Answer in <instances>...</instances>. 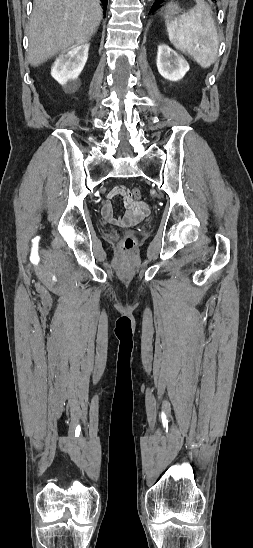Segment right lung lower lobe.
<instances>
[{"label":"right lung lower lobe","instance_id":"98d812e1","mask_svg":"<svg viewBox=\"0 0 253 548\" xmlns=\"http://www.w3.org/2000/svg\"><path fill=\"white\" fill-rule=\"evenodd\" d=\"M101 1L103 2L104 8L106 9L108 0H101Z\"/></svg>","mask_w":253,"mask_h":548}]
</instances>
